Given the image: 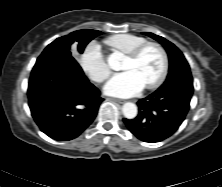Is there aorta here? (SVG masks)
Returning <instances> with one entry per match:
<instances>
[{"label": "aorta", "mask_w": 222, "mask_h": 187, "mask_svg": "<svg viewBox=\"0 0 222 187\" xmlns=\"http://www.w3.org/2000/svg\"><path fill=\"white\" fill-rule=\"evenodd\" d=\"M117 60H118V56L114 54L108 58V63L110 65H113L115 64ZM122 112L125 118L133 119L137 116V112H138L137 106L132 102H127L123 105Z\"/></svg>", "instance_id": "762f6f07"}]
</instances>
